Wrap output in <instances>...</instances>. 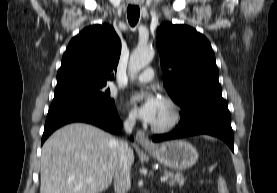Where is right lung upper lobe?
Returning a JSON list of instances; mask_svg holds the SVG:
<instances>
[{
  "label": "right lung upper lobe",
  "instance_id": "obj_1",
  "mask_svg": "<svg viewBox=\"0 0 277 193\" xmlns=\"http://www.w3.org/2000/svg\"><path fill=\"white\" fill-rule=\"evenodd\" d=\"M121 41L108 24L93 25L75 36L63 55L55 93L99 85L113 79Z\"/></svg>",
  "mask_w": 277,
  "mask_h": 193
}]
</instances>
